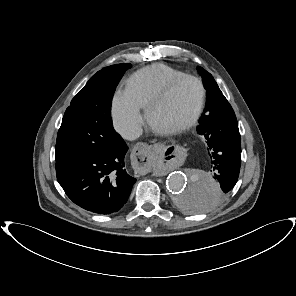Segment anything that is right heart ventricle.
I'll list each match as a JSON object with an SVG mask.
<instances>
[{"label": "right heart ventricle", "instance_id": "obj_1", "mask_svg": "<svg viewBox=\"0 0 296 296\" xmlns=\"http://www.w3.org/2000/svg\"><path fill=\"white\" fill-rule=\"evenodd\" d=\"M182 74L168 65L153 64L133 74L127 82L126 91L140 108H147L169 81Z\"/></svg>", "mask_w": 296, "mask_h": 296}]
</instances>
